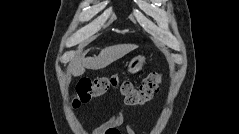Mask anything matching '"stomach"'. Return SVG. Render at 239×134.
<instances>
[{
    "label": "stomach",
    "mask_w": 239,
    "mask_h": 134,
    "mask_svg": "<svg viewBox=\"0 0 239 134\" xmlns=\"http://www.w3.org/2000/svg\"><path fill=\"white\" fill-rule=\"evenodd\" d=\"M145 60H146L145 57L141 55L134 57L129 62L128 71L132 74L139 72L144 66Z\"/></svg>",
    "instance_id": "0dacf381"
}]
</instances>
